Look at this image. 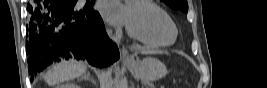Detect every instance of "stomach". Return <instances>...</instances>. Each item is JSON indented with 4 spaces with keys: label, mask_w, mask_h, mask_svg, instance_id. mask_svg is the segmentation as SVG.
Wrapping results in <instances>:
<instances>
[{
    "label": "stomach",
    "mask_w": 267,
    "mask_h": 88,
    "mask_svg": "<svg viewBox=\"0 0 267 88\" xmlns=\"http://www.w3.org/2000/svg\"><path fill=\"white\" fill-rule=\"evenodd\" d=\"M127 67L135 78L145 81H156L167 73L165 65L153 57L133 61Z\"/></svg>",
    "instance_id": "0dacf381"
}]
</instances>
